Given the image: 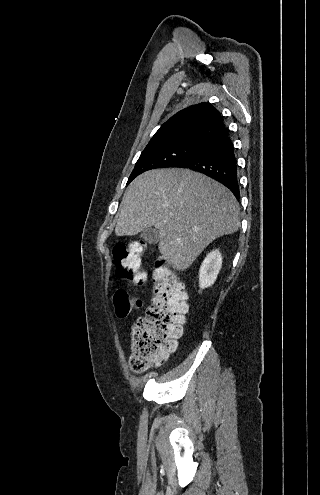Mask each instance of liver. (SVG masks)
I'll list each match as a JSON object with an SVG mask.
<instances>
[{"label":"liver","instance_id":"liver-1","mask_svg":"<svg viewBox=\"0 0 320 495\" xmlns=\"http://www.w3.org/2000/svg\"><path fill=\"white\" fill-rule=\"evenodd\" d=\"M155 226L160 253L177 270L190 267L213 240L240 227L239 203L219 182L180 168L138 176L126 190L116 236H133Z\"/></svg>","mask_w":320,"mask_h":495}]
</instances>
